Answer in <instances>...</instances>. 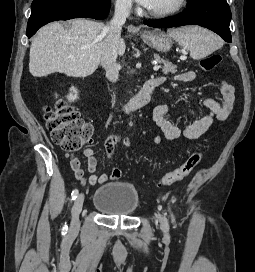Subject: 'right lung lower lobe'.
<instances>
[{"label": "right lung lower lobe", "instance_id": "1", "mask_svg": "<svg viewBox=\"0 0 255 272\" xmlns=\"http://www.w3.org/2000/svg\"><path fill=\"white\" fill-rule=\"evenodd\" d=\"M111 0H33L26 35L32 37L43 25L72 18L105 19Z\"/></svg>", "mask_w": 255, "mask_h": 272}]
</instances>
